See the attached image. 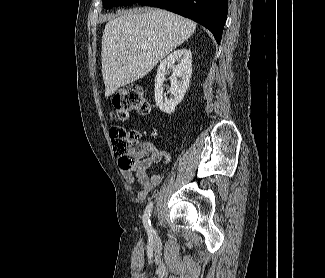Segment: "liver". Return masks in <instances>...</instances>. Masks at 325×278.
I'll use <instances>...</instances> for the list:
<instances>
[{
    "label": "liver",
    "mask_w": 325,
    "mask_h": 278,
    "mask_svg": "<svg viewBox=\"0 0 325 278\" xmlns=\"http://www.w3.org/2000/svg\"><path fill=\"white\" fill-rule=\"evenodd\" d=\"M195 29L190 19L161 9H132L110 19L102 36L105 96L143 78Z\"/></svg>",
    "instance_id": "1"
}]
</instances>
